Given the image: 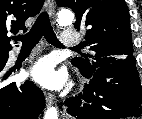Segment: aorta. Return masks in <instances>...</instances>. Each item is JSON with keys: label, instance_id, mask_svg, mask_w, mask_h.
<instances>
[{"label": "aorta", "instance_id": "obj_1", "mask_svg": "<svg viewBox=\"0 0 142 119\" xmlns=\"http://www.w3.org/2000/svg\"><path fill=\"white\" fill-rule=\"evenodd\" d=\"M74 14L68 9H62L57 16V23L60 26H67L72 24ZM44 119H58V111L56 107H49L45 112Z\"/></svg>", "mask_w": 142, "mask_h": 119}]
</instances>
